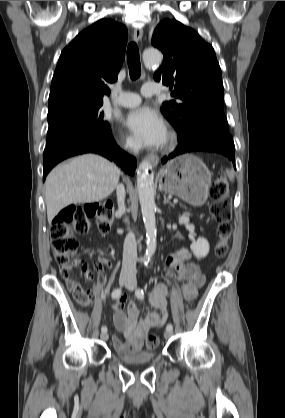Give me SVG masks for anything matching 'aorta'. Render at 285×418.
Instances as JSON below:
<instances>
[{
	"label": "aorta",
	"mask_w": 285,
	"mask_h": 418,
	"mask_svg": "<svg viewBox=\"0 0 285 418\" xmlns=\"http://www.w3.org/2000/svg\"><path fill=\"white\" fill-rule=\"evenodd\" d=\"M143 60L147 67L158 65L162 60V54L158 50L149 49L143 53ZM152 166L148 160H143L137 170V191L141 205L147 238L146 261H149L156 251V204L154 176L150 173Z\"/></svg>",
	"instance_id": "obj_1"
}]
</instances>
